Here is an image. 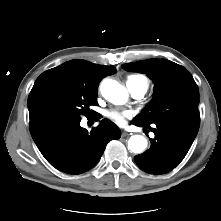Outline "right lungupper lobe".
<instances>
[{"mask_svg": "<svg viewBox=\"0 0 221 221\" xmlns=\"http://www.w3.org/2000/svg\"><path fill=\"white\" fill-rule=\"evenodd\" d=\"M114 73L116 69L113 66L97 65L81 59L65 62L43 72L35 81L28 97L30 122L45 116L41 108V97L48 87L59 82H72L98 89L101 79Z\"/></svg>", "mask_w": 221, "mask_h": 221, "instance_id": "cb5924a9", "label": "right lung upper lobe"}]
</instances>
